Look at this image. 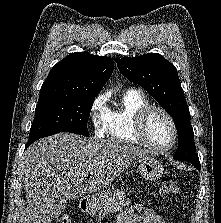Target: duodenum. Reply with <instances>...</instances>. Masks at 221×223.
I'll use <instances>...</instances> for the list:
<instances>
[{
  "label": "duodenum",
  "mask_w": 221,
  "mask_h": 223,
  "mask_svg": "<svg viewBox=\"0 0 221 223\" xmlns=\"http://www.w3.org/2000/svg\"><path fill=\"white\" fill-rule=\"evenodd\" d=\"M81 207H82V209L84 211H87L88 210V208H89V201H88V199H83L81 201Z\"/></svg>",
  "instance_id": "duodenum-1"
}]
</instances>
